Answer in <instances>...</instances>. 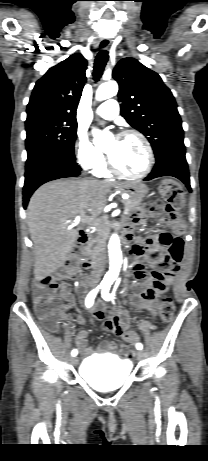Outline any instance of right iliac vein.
Returning <instances> with one entry per match:
<instances>
[{
	"label": "right iliac vein",
	"instance_id": "right-iliac-vein-1",
	"mask_svg": "<svg viewBox=\"0 0 208 461\" xmlns=\"http://www.w3.org/2000/svg\"><path fill=\"white\" fill-rule=\"evenodd\" d=\"M70 361H71V364H72L73 366H76V365L78 364V361H79V360H78L77 357L74 356V357H72V358L70 359Z\"/></svg>",
	"mask_w": 208,
	"mask_h": 461
}]
</instances>
